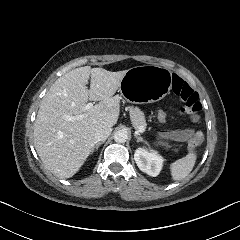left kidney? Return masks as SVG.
I'll return each mask as SVG.
<instances>
[{
    "instance_id": "obj_1",
    "label": "left kidney",
    "mask_w": 240,
    "mask_h": 240,
    "mask_svg": "<svg viewBox=\"0 0 240 240\" xmlns=\"http://www.w3.org/2000/svg\"><path fill=\"white\" fill-rule=\"evenodd\" d=\"M134 160L142 172L152 177L159 176L165 164V158L159 151L145 147L135 150Z\"/></svg>"
}]
</instances>
